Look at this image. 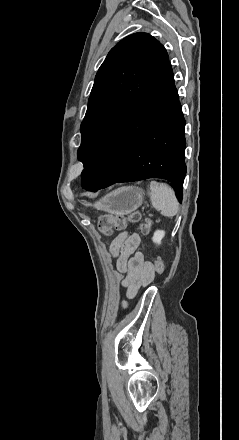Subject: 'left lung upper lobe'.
<instances>
[{"label": "left lung upper lobe", "instance_id": "5c2ea615", "mask_svg": "<svg viewBox=\"0 0 239 440\" xmlns=\"http://www.w3.org/2000/svg\"><path fill=\"white\" fill-rule=\"evenodd\" d=\"M169 61L166 49L147 33L122 39L99 68L81 124L78 158L84 167L101 141L145 93Z\"/></svg>", "mask_w": 239, "mask_h": 440}]
</instances>
